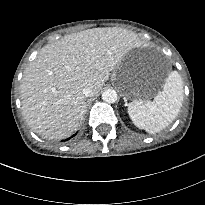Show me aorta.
I'll use <instances>...</instances> for the list:
<instances>
[{"label": "aorta", "mask_w": 205, "mask_h": 205, "mask_svg": "<svg viewBox=\"0 0 205 205\" xmlns=\"http://www.w3.org/2000/svg\"><path fill=\"white\" fill-rule=\"evenodd\" d=\"M102 99L107 103H114L117 101V93L114 89H106L102 93Z\"/></svg>", "instance_id": "aorta-1"}]
</instances>
